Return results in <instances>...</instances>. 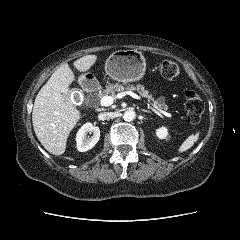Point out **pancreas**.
<instances>
[{
	"instance_id": "obj_1",
	"label": "pancreas",
	"mask_w": 240,
	"mask_h": 240,
	"mask_svg": "<svg viewBox=\"0 0 240 240\" xmlns=\"http://www.w3.org/2000/svg\"><path fill=\"white\" fill-rule=\"evenodd\" d=\"M131 88L138 91V93L141 96L146 97L148 99H152V96L149 94V92L145 89V87L143 85H140V84H138L136 86L131 85ZM123 90H124V86L122 84H119V83L111 84V83H109L103 91H99V93L97 94V97L101 99L103 96L110 95L113 98H115L116 93L121 92ZM161 102L162 103L159 104V102L155 101V103L159 107L165 108L166 105L164 103V100H162Z\"/></svg>"
}]
</instances>
